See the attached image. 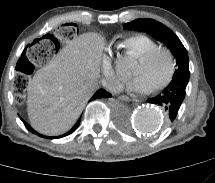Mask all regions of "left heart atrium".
Wrapping results in <instances>:
<instances>
[{"mask_svg": "<svg viewBox=\"0 0 215 183\" xmlns=\"http://www.w3.org/2000/svg\"><path fill=\"white\" fill-rule=\"evenodd\" d=\"M128 90L137 93H148L151 90L150 85L141 75H136L129 79L126 83Z\"/></svg>", "mask_w": 215, "mask_h": 183, "instance_id": "obj_1", "label": "left heart atrium"}]
</instances>
